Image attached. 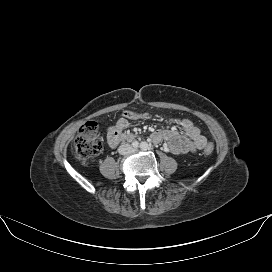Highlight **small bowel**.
<instances>
[{
  "label": "small bowel",
  "mask_w": 272,
  "mask_h": 272,
  "mask_svg": "<svg viewBox=\"0 0 272 272\" xmlns=\"http://www.w3.org/2000/svg\"><path fill=\"white\" fill-rule=\"evenodd\" d=\"M183 133L176 130L155 131L152 134L154 142H165L169 151L174 154H190L203 149L207 139L201 134L199 128L189 119L173 120ZM128 126L126 118H120L113 126L108 128V141L111 146H116L118 136Z\"/></svg>",
  "instance_id": "c3829d8e"
}]
</instances>
